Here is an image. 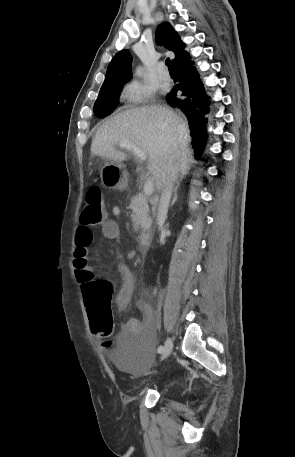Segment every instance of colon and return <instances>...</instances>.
<instances>
[{
	"label": "colon",
	"mask_w": 295,
	"mask_h": 457,
	"mask_svg": "<svg viewBox=\"0 0 295 457\" xmlns=\"http://www.w3.org/2000/svg\"><path fill=\"white\" fill-rule=\"evenodd\" d=\"M106 221V207L102 192L98 187H91L85 198V205L80 214V224L86 228L102 226ZM75 272L83 283V300L92 332L110 347L107 339L113 329L111 313V286L102 280H96L86 254H77L74 260Z\"/></svg>",
	"instance_id": "colon-1"
}]
</instances>
